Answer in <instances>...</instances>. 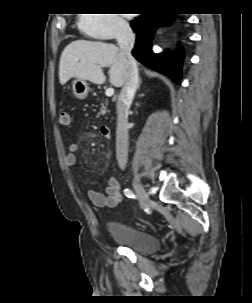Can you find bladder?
Segmentation results:
<instances>
[{
    "label": "bladder",
    "mask_w": 252,
    "mask_h": 303,
    "mask_svg": "<svg viewBox=\"0 0 252 303\" xmlns=\"http://www.w3.org/2000/svg\"><path fill=\"white\" fill-rule=\"evenodd\" d=\"M108 230L117 242L142 253H154L160 247L154 235L134 226L113 222Z\"/></svg>",
    "instance_id": "1"
}]
</instances>
